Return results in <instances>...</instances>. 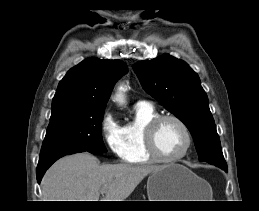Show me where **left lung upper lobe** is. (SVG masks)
I'll return each instance as SVG.
<instances>
[{
  "label": "left lung upper lobe",
  "mask_w": 259,
  "mask_h": 211,
  "mask_svg": "<svg viewBox=\"0 0 259 211\" xmlns=\"http://www.w3.org/2000/svg\"><path fill=\"white\" fill-rule=\"evenodd\" d=\"M133 68L146 92L189 129L199 160L227 168L208 97L196 72L169 54L138 62Z\"/></svg>",
  "instance_id": "obj_1"
}]
</instances>
